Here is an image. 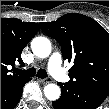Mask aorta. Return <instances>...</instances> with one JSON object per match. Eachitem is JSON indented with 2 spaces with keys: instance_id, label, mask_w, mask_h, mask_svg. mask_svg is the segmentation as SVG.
<instances>
[{
  "instance_id": "762f6f07",
  "label": "aorta",
  "mask_w": 109,
  "mask_h": 109,
  "mask_svg": "<svg viewBox=\"0 0 109 109\" xmlns=\"http://www.w3.org/2000/svg\"><path fill=\"white\" fill-rule=\"evenodd\" d=\"M31 49L37 57L46 58L51 53V43L46 37H36L31 41ZM44 94L47 99L55 101L61 95L60 87L56 84H48L44 87Z\"/></svg>"
}]
</instances>
